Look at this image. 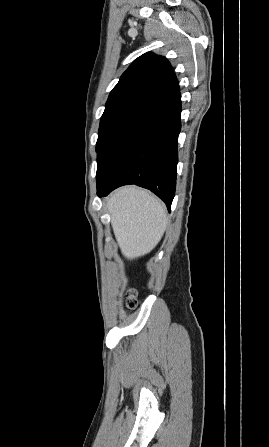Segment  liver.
<instances>
[{
  "mask_svg": "<svg viewBox=\"0 0 269 447\" xmlns=\"http://www.w3.org/2000/svg\"><path fill=\"white\" fill-rule=\"evenodd\" d=\"M107 208L119 247L129 259L151 251L166 229V210L147 190L120 188L108 198Z\"/></svg>",
  "mask_w": 269,
  "mask_h": 447,
  "instance_id": "6515ba94",
  "label": "liver"
}]
</instances>
